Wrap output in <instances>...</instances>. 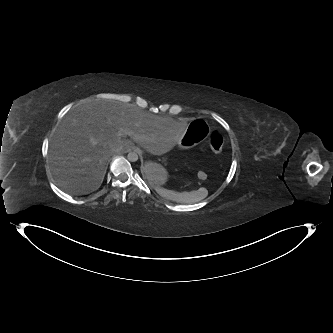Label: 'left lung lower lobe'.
Wrapping results in <instances>:
<instances>
[{
    "instance_id": "1",
    "label": "left lung lower lobe",
    "mask_w": 333,
    "mask_h": 333,
    "mask_svg": "<svg viewBox=\"0 0 333 333\" xmlns=\"http://www.w3.org/2000/svg\"><path fill=\"white\" fill-rule=\"evenodd\" d=\"M144 171H145V174L148 176V174H149V169H148V167H146Z\"/></svg>"
}]
</instances>
